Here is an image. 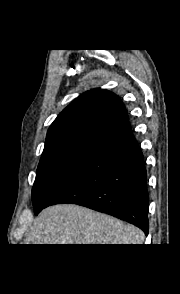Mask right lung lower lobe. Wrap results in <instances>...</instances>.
<instances>
[{"instance_id": "obj_1", "label": "right lung lower lobe", "mask_w": 180, "mask_h": 294, "mask_svg": "<svg viewBox=\"0 0 180 294\" xmlns=\"http://www.w3.org/2000/svg\"><path fill=\"white\" fill-rule=\"evenodd\" d=\"M59 203L78 204L110 214L148 234L146 169L128 121L104 138L35 214Z\"/></svg>"}]
</instances>
